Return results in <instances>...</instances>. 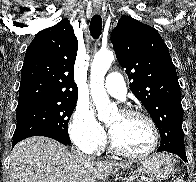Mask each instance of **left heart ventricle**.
Segmentation results:
<instances>
[{"mask_svg":"<svg viewBox=\"0 0 196 182\" xmlns=\"http://www.w3.org/2000/svg\"><path fill=\"white\" fill-rule=\"evenodd\" d=\"M108 126L117 143L128 151L140 153L151 146V129L141 118L116 113L109 119Z\"/></svg>","mask_w":196,"mask_h":182,"instance_id":"1","label":"left heart ventricle"}]
</instances>
